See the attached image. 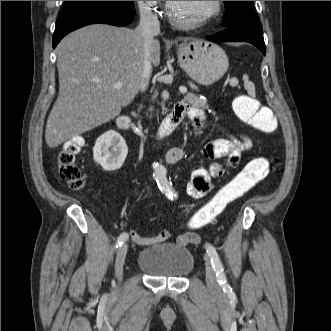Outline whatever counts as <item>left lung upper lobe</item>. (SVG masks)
I'll return each mask as SVG.
<instances>
[{"label":"left lung upper lobe","instance_id":"1","mask_svg":"<svg viewBox=\"0 0 331 331\" xmlns=\"http://www.w3.org/2000/svg\"><path fill=\"white\" fill-rule=\"evenodd\" d=\"M226 13L222 24L230 27L259 20L254 10V1H224Z\"/></svg>","mask_w":331,"mask_h":331}]
</instances>
